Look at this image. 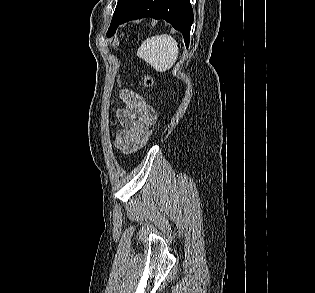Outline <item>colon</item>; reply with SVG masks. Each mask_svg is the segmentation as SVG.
I'll return each instance as SVG.
<instances>
[{
    "mask_svg": "<svg viewBox=\"0 0 315 293\" xmlns=\"http://www.w3.org/2000/svg\"><path fill=\"white\" fill-rule=\"evenodd\" d=\"M119 85H126L127 80L126 78H119L118 80ZM154 80L151 75L146 74L143 78V86L145 89H150L153 86ZM118 93H129V88H118ZM151 130H147V132L144 135V138L142 140L141 146L145 145L146 142L148 141L150 135H151Z\"/></svg>",
    "mask_w": 315,
    "mask_h": 293,
    "instance_id": "5ec220e1",
    "label": "colon"
}]
</instances>
